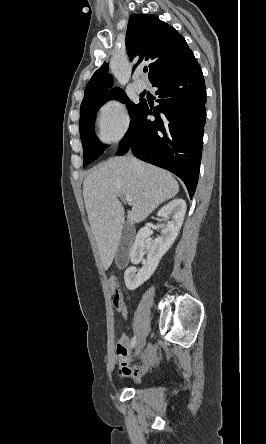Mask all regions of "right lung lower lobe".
<instances>
[{"instance_id": "98d812e1", "label": "right lung lower lobe", "mask_w": 266, "mask_h": 444, "mask_svg": "<svg viewBox=\"0 0 266 444\" xmlns=\"http://www.w3.org/2000/svg\"><path fill=\"white\" fill-rule=\"evenodd\" d=\"M151 83L158 88L159 105L152 111L143 102L117 155L131 150L136 158L169 170L183 180L192 197L199 176L206 119V91L200 65L194 59ZM148 115H154L155 121H150Z\"/></svg>"}]
</instances>
